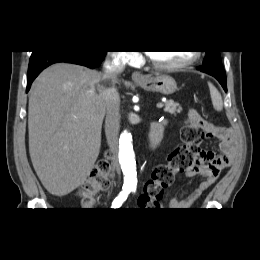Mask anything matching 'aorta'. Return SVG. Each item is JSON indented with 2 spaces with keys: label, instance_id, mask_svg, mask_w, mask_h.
Instances as JSON below:
<instances>
[{
  "label": "aorta",
  "instance_id": "aorta-1",
  "mask_svg": "<svg viewBox=\"0 0 260 260\" xmlns=\"http://www.w3.org/2000/svg\"><path fill=\"white\" fill-rule=\"evenodd\" d=\"M118 158L124 174L125 184L135 185L137 182L135 154L132 136L126 130L120 135Z\"/></svg>",
  "mask_w": 260,
  "mask_h": 260
}]
</instances>
